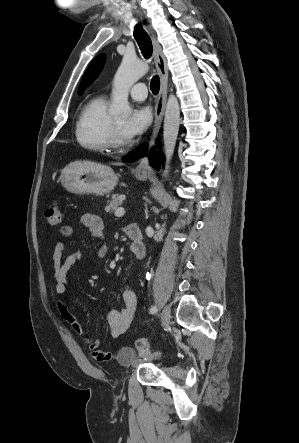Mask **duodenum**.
<instances>
[{
    "mask_svg": "<svg viewBox=\"0 0 299 443\" xmlns=\"http://www.w3.org/2000/svg\"><path fill=\"white\" fill-rule=\"evenodd\" d=\"M127 236L132 242L131 250L136 257H143L145 254V246L142 240L141 230L137 226H129Z\"/></svg>",
    "mask_w": 299,
    "mask_h": 443,
    "instance_id": "duodenum-1",
    "label": "duodenum"
}]
</instances>
